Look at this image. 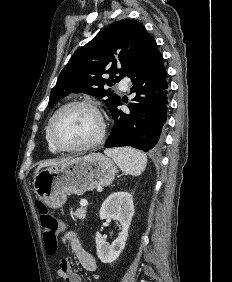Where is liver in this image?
I'll use <instances>...</instances> for the list:
<instances>
[{
	"mask_svg": "<svg viewBox=\"0 0 232 282\" xmlns=\"http://www.w3.org/2000/svg\"><path fill=\"white\" fill-rule=\"evenodd\" d=\"M67 159H63V160H59V161H44L42 163L39 164L37 170H36V174L40 171L41 168L43 167H48V166H54V165H57V164H60L62 162H65Z\"/></svg>",
	"mask_w": 232,
	"mask_h": 282,
	"instance_id": "1",
	"label": "liver"
}]
</instances>
